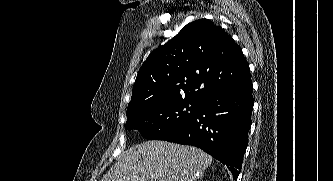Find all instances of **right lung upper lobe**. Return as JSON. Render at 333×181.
Masks as SVG:
<instances>
[{
  "label": "right lung upper lobe",
  "mask_w": 333,
  "mask_h": 181,
  "mask_svg": "<svg viewBox=\"0 0 333 181\" xmlns=\"http://www.w3.org/2000/svg\"><path fill=\"white\" fill-rule=\"evenodd\" d=\"M250 78L248 63L232 37L210 20L199 19L148 56L138 72L127 112L163 100L201 101Z\"/></svg>",
  "instance_id": "cb5924a9"
}]
</instances>
